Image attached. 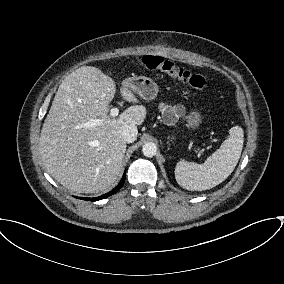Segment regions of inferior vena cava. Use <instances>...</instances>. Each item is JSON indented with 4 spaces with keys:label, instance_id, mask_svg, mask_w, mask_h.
I'll list each match as a JSON object with an SVG mask.
<instances>
[{
    "label": "inferior vena cava",
    "instance_id": "1",
    "mask_svg": "<svg viewBox=\"0 0 284 284\" xmlns=\"http://www.w3.org/2000/svg\"><path fill=\"white\" fill-rule=\"evenodd\" d=\"M138 134L137 127L135 125H126L123 127L121 136L126 143H132L136 140Z\"/></svg>",
    "mask_w": 284,
    "mask_h": 284
}]
</instances>
